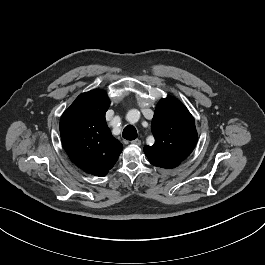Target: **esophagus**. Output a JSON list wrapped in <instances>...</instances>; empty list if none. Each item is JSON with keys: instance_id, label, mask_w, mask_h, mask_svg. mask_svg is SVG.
<instances>
[{"instance_id": "1", "label": "esophagus", "mask_w": 265, "mask_h": 265, "mask_svg": "<svg viewBox=\"0 0 265 265\" xmlns=\"http://www.w3.org/2000/svg\"><path fill=\"white\" fill-rule=\"evenodd\" d=\"M133 145H137L140 146L141 145V141L139 139H135L131 142Z\"/></svg>"}]
</instances>
